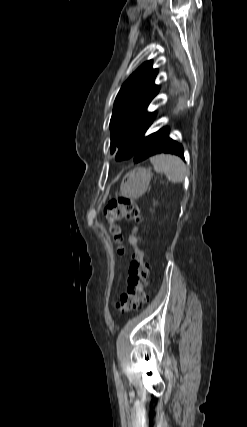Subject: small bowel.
Returning <instances> with one entry per match:
<instances>
[{
	"instance_id": "small-bowel-1",
	"label": "small bowel",
	"mask_w": 247,
	"mask_h": 427,
	"mask_svg": "<svg viewBox=\"0 0 247 427\" xmlns=\"http://www.w3.org/2000/svg\"><path fill=\"white\" fill-rule=\"evenodd\" d=\"M136 232H137V229H136V228H134V230H133L132 234H131V235H130V237H129V243H130L134 248H136Z\"/></svg>"
}]
</instances>
